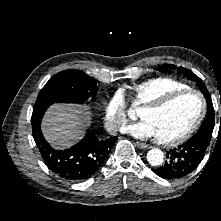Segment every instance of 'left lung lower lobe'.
Returning a JSON list of instances; mask_svg holds the SVG:
<instances>
[{
	"instance_id": "0a47b994",
	"label": "left lung lower lobe",
	"mask_w": 221,
	"mask_h": 221,
	"mask_svg": "<svg viewBox=\"0 0 221 221\" xmlns=\"http://www.w3.org/2000/svg\"><path fill=\"white\" fill-rule=\"evenodd\" d=\"M209 142V137L202 134L192 136L178 148L170 150L165 164L153 169V172L168 180L189 175L201 163Z\"/></svg>"
}]
</instances>
